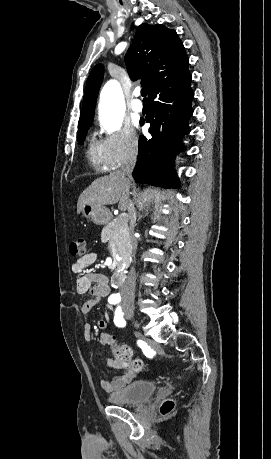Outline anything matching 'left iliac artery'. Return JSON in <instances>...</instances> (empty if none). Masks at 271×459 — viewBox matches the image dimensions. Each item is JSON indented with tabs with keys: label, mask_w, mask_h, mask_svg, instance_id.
<instances>
[{
	"label": "left iliac artery",
	"mask_w": 271,
	"mask_h": 459,
	"mask_svg": "<svg viewBox=\"0 0 271 459\" xmlns=\"http://www.w3.org/2000/svg\"><path fill=\"white\" fill-rule=\"evenodd\" d=\"M123 313H124V310L122 308L118 307L116 309L115 316H114V323L118 327H124L126 325V322L123 318Z\"/></svg>",
	"instance_id": "44dca946"
}]
</instances>
